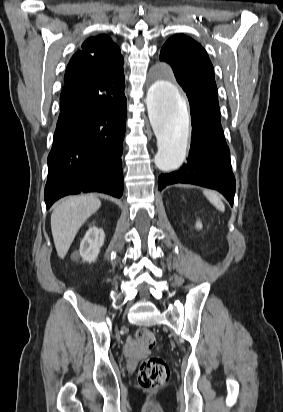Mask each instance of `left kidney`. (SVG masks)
I'll use <instances>...</instances> for the list:
<instances>
[{"label":"left kidney","instance_id":"left-kidney-1","mask_svg":"<svg viewBox=\"0 0 283 412\" xmlns=\"http://www.w3.org/2000/svg\"><path fill=\"white\" fill-rule=\"evenodd\" d=\"M196 228L201 229L202 228V223L200 221L196 222Z\"/></svg>","mask_w":283,"mask_h":412}]
</instances>
